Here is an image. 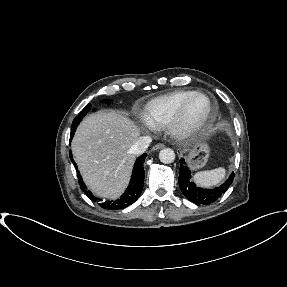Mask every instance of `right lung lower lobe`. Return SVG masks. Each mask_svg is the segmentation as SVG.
I'll return each mask as SVG.
<instances>
[{
    "mask_svg": "<svg viewBox=\"0 0 287 287\" xmlns=\"http://www.w3.org/2000/svg\"><path fill=\"white\" fill-rule=\"evenodd\" d=\"M74 132H71L70 141H71L72 137L74 136ZM69 156H70V159L73 162V164L77 170V165L72 158L71 151L69 152ZM146 156H147V154L144 153L143 155H141L140 157L137 158V160L134 164V167H133L132 176H131L129 186L125 190L124 194L117 200L101 201L99 198H95L93 196V194L86 189V186L83 182V179L77 170L80 188L82 189V191H84L86 193V195L91 200L100 202L99 205L104 209H108V210L124 209V208L128 207L129 205L133 204L138 199V197L141 195V192L143 189V184H144V176H145L144 169H143V163L145 161Z\"/></svg>",
    "mask_w": 287,
    "mask_h": 287,
    "instance_id": "1",
    "label": "right lung lower lobe"
}]
</instances>
